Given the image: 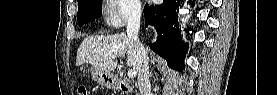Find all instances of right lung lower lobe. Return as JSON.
Returning a JSON list of instances; mask_svg holds the SVG:
<instances>
[{"instance_id":"right-lung-lower-lobe-1","label":"right lung lower lobe","mask_w":277,"mask_h":95,"mask_svg":"<svg viewBox=\"0 0 277 95\" xmlns=\"http://www.w3.org/2000/svg\"><path fill=\"white\" fill-rule=\"evenodd\" d=\"M191 4H194L192 2ZM180 0H163L162 5H145L144 16L146 26H155L158 38L150 48L161 57L165 58L168 64L179 71L184 69V58L188 45H183L177 36L178 30L177 10Z\"/></svg>"}]
</instances>
